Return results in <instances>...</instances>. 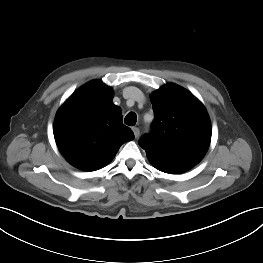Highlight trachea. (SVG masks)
I'll return each instance as SVG.
<instances>
[{
  "mask_svg": "<svg viewBox=\"0 0 263 263\" xmlns=\"http://www.w3.org/2000/svg\"><path fill=\"white\" fill-rule=\"evenodd\" d=\"M136 122L137 115L134 112H129L124 119V123L128 126H134Z\"/></svg>",
  "mask_w": 263,
  "mask_h": 263,
  "instance_id": "3493384b",
  "label": "trachea"
}]
</instances>
